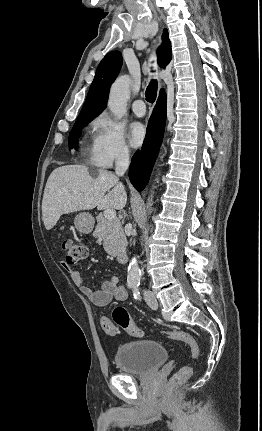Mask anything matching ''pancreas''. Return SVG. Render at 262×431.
<instances>
[{"instance_id":"pancreas-1","label":"pancreas","mask_w":262,"mask_h":431,"mask_svg":"<svg viewBox=\"0 0 262 431\" xmlns=\"http://www.w3.org/2000/svg\"><path fill=\"white\" fill-rule=\"evenodd\" d=\"M93 236L103 240L104 249L108 254L116 256L126 249V237L118 218L112 220L101 218Z\"/></svg>"}]
</instances>
